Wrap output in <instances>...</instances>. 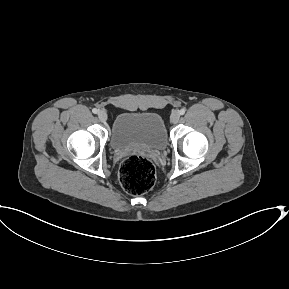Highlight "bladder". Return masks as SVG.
<instances>
[{
	"label": "bladder",
	"mask_w": 289,
	"mask_h": 289,
	"mask_svg": "<svg viewBox=\"0 0 289 289\" xmlns=\"http://www.w3.org/2000/svg\"><path fill=\"white\" fill-rule=\"evenodd\" d=\"M167 142L164 121L154 112H123L115 118L110 132V145L114 150L160 151L165 149Z\"/></svg>",
	"instance_id": "1"
}]
</instances>
